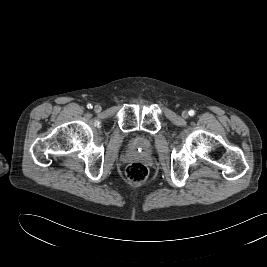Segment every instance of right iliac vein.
<instances>
[{
    "mask_svg": "<svg viewBox=\"0 0 267 267\" xmlns=\"http://www.w3.org/2000/svg\"><path fill=\"white\" fill-rule=\"evenodd\" d=\"M101 109L102 108H101V106L99 104L94 106V111L97 112V113H99L101 111Z\"/></svg>",
    "mask_w": 267,
    "mask_h": 267,
    "instance_id": "63e3f726",
    "label": "right iliac vein"
}]
</instances>
